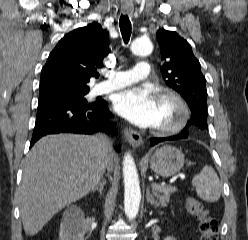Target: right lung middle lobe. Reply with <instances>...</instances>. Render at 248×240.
Masks as SVG:
<instances>
[{
	"mask_svg": "<svg viewBox=\"0 0 248 240\" xmlns=\"http://www.w3.org/2000/svg\"><path fill=\"white\" fill-rule=\"evenodd\" d=\"M87 93L88 92H84V93L76 94V95H68V96L58 97V98H55L52 100H66V101H72V102H76V103L88 104V102L85 98V95ZM52 100H49V101H52ZM39 102H41V101H39Z\"/></svg>",
	"mask_w": 248,
	"mask_h": 240,
	"instance_id": "1",
	"label": "right lung middle lobe"
}]
</instances>
